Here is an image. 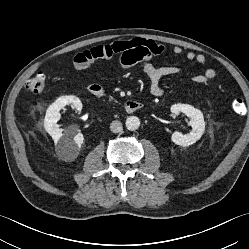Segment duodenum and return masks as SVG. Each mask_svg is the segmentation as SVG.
<instances>
[{
    "label": "duodenum",
    "mask_w": 249,
    "mask_h": 249,
    "mask_svg": "<svg viewBox=\"0 0 249 249\" xmlns=\"http://www.w3.org/2000/svg\"><path fill=\"white\" fill-rule=\"evenodd\" d=\"M88 91L92 96L97 98H101L105 94L101 87L94 85L89 86ZM124 108L127 113H134L142 110L144 108V104L140 101L128 100L126 101Z\"/></svg>",
    "instance_id": "obj_1"
}]
</instances>
